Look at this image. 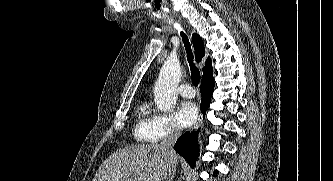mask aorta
I'll return each mask as SVG.
<instances>
[{
  "mask_svg": "<svg viewBox=\"0 0 333 181\" xmlns=\"http://www.w3.org/2000/svg\"><path fill=\"white\" fill-rule=\"evenodd\" d=\"M181 77V67L177 59H168L162 66L154 87V101L161 111H170L177 102L176 88Z\"/></svg>",
  "mask_w": 333,
  "mask_h": 181,
  "instance_id": "aorta-1",
  "label": "aorta"
}]
</instances>
